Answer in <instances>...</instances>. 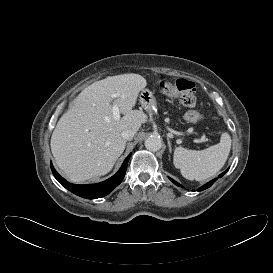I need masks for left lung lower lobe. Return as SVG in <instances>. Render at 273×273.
<instances>
[{
	"label": "left lung lower lobe",
	"mask_w": 273,
	"mask_h": 273,
	"mask_svg": "<svg viewBox=\"0 0 273 273\" xmlns=\"http://www.w3.org/2000/svg\"><path fill=\"white\" fill-rule=\"evenodd\" d=\"M226 172H227V170H226L225 172L221 173V174L219 175V177H222ZM170 180H171L175 185L180 186L178 182L174 181V180L171 179V178H170ZM214 181H215V179L212 180V181H210V182H208L207 184L203 185L202 187H200V188L198 189V191H202V190H205V189L209 188L210 186H212V184H213Z\"/></svg>",
	"instance_id": "0a47b994"
}]
</instances>
